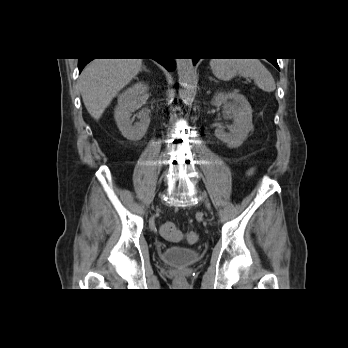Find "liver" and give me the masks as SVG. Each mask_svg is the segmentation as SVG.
I'll list each match as a JSON object with an SVG mask.
<instances>
[{
    "label": "liver",
    "mask_w": 348,
    "mask_h": 348,
    "mask_svg": "<svg viewBox=\"0 0 348 348\" xmlns=\"http://www.w3.org/2000/svg\"><path fill=\"white\" fill-rule=\"evenodd\" d=\"M142 59H94L82 71L79 87L89 114L99 120L114 97L141 71Z\"/></svg>",
    "instance_id": "liver-1"
}]
</instances>
